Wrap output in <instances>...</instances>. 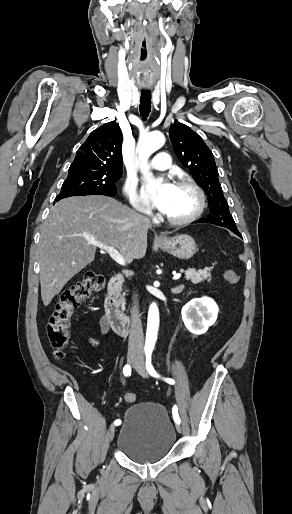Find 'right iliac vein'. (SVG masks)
Returning <instances> with one entry per match:
<instances>
[{"mask_svg": "<svg viewBox=\"0 0 292 514\" xmlns=\"http://www.w3.org/2000/svg\"><path fill=\"white\" fill-rule=\"evenodd\" d=\"M137 362H138V358L136 356L130 355L128 357V363L129 364L134 366ZM114 433H115V426L111 425L110 428H109V440L110 441L113 439Z\"/></svg>", "mask_w": 292, "mask_h": 514, "instance_id": "right-iliac-vein-1", "label": "right iliac vein"}]
</instances>
